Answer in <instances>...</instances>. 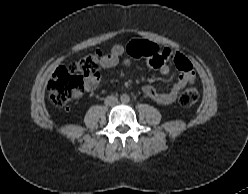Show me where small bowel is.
Returning a JSON list of instances; mask_svg holds the SVG:
<instances>
[{
    "label": "small bowel",
    "instance_id": "obj_1",
    "mask_svg": "<svg viewBox=\"0 0 248 194\" xmlns=\"http://www.w3.org/2000/svg\"><path fill=\"white\" fill-rule=\"evenodd\" d=\"M126 51H127V48H125L124 46L115 45L112 48L111 53L102 58L101 67L103 69H109V68H113L117 66L120 63V59L125 55ZM172 54L173 53L171 51L165 50V51L160 52L157 58L166 57L170 59L172 58ZM155 60L156 58L151 57L147 61V63L151 66L158 67L160 72L163 75L165 76L170 75L171 67L165 62L159 65H156ZM171 60H173L175 66L181 71V74L177 78V80L172 83V85L170 86L168 90L159 92L153 86L149 84H144L142 87L143 93L147 97L163 105H168L174 102L179 92L186 86L187 83L192 81L195 77L192 65L188 59L183 57V60L181 62L176 61L175 58H172ZM123 64L126 67H128L130 65V61L128 59H124ZM100 79L101 78L99 74L96 76L88 77L85 80V86H84L85 91L87 92L94 91L99 85Z\"/></svg>",
    "mask_w": 248,
    "mask_h": 194
}]
</instances>
